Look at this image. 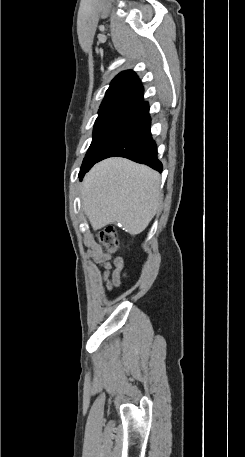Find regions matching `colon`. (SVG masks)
Masks as SVG:
<instances>
[{
  "label": "colon",
  "instance_id": "colon-1",
  "mask_svg": "<svg viewBox=\"0 0 245 457\" xmlns=\"http://www.w3.org/2000/svg\"><path fill=\"white\" fill-rule=\"evenodd\" d=\"M98 241L109 250H114L119 245L118 233L113 226L103 229L98 235Z\"/></svg>",
  "mask_w": 245,
  "mask_h": 457
}]
</instances>
